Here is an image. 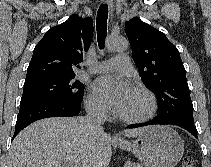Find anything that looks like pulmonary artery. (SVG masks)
Returning a JSON list of instances; mask_svg holds the SVG:
<instances>
[{
    "mask_svg": "<svg viewBox=\"0 0 211 167\" xmlns=\"http://www.w3.org/2000/svg\"><path fill=\"white\" fill-rule=\"evenodd\" d=\"M130 58L126 54H118L113 58L99 62L92 70V73H109L116 70H130Z\"/></svg>",
    "mask_w": 211,
    "mask_h": 167,
    "instance_id": "pulmonary-artery-1",
    "label": "pulmonary artery"
}]
</instances>
